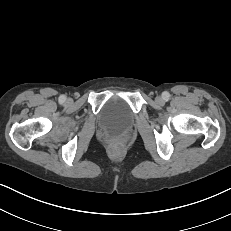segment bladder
<instances>
[{
  "label": "bladder",
  "instance_id": "31cf9c89",
  "mask_svg": "<svg viewBox=\"0 0 231 231\" xmlns=\"http://www.w3.org/2000/svg\"><path fill=\"white\" fill-rule=\"evenodd\" d=\"M98 118L105 129L122 131L133 123L134 114L127 103L115 97L104 104Z\"/></svg>",
  "mask_w": 231,
  "mask_h": 231
}]
</instances>
